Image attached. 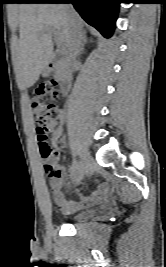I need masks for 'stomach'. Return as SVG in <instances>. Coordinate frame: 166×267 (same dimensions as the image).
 <instances>
[{"mask_svg": "<svg viewBox=\"0 0 166 267\" xmlns=\"http://www.w3.org/2000/svg\"><path fill=\"white\" fill-rule=\"evenodd\" d=\"M42 74H43V76H46L48 74V71L44 70Z\"/></svg>", "mask_w": 166, "mask_h": 267, "instance_id": "1", "label": "stomach"}]
</instances>
